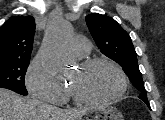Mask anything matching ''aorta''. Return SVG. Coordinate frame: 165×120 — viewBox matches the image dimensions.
<instances>
[{"label": "aorta", "mask_w": 165, "mask_h": 120, "mask_svg": "<svg viewBox=\"0 0 165 120\" xmlns=\"http://www.w3.org/2000/svg\"><path fill=\"white\" fill-rule=\"evenodd\" d=\"M70 32V23L62 17H53L49 20L39 55L44 66L54 76H59L66 69L67 63L62 51Z\"/></svg>", "instance_id": "aorta-1"}]
</instances>
